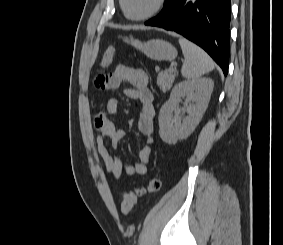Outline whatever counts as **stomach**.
Here are the masks:
<instances>
[{
  "label": "stomach",
  "mask_w": 283,
  "mask_h": 245,
  "mask_svg": "<svg viewBox=\"0 0 283 245\" xmlns=\"http://www.w3.org/2000/svg\"><path fill=\"white\" fill-rule=\"evenodd\" d=\"M125 42L131 44L153 60L171 61L177 56V50L175 49V47L171 43L164 40L152 39L147 42H141L137 39L126 38Z\"/></svg>",
  "instance_id": "1"
}]
</instances>
